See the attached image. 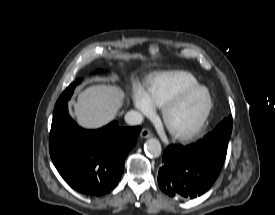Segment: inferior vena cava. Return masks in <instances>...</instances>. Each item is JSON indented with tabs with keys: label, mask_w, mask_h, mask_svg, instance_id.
I'll return each mask as SVG.
<instances>
[{
	"label": "inferior vena cava",
	"mask_w": 275,
	"mask_h": 215,
	"mask_svg": "<svg viewBox=\"0 0 275 215\" xmlns=\"http://www.w3.org/2000/svg\"><path fill=\"white\" fill-rule=\"evenodd\" d=\"M125 121L129 124V125H138L141 124L143 121V116L141 113L134 111V110H130L129 112H127L125 114Z\"/></svg>",
	"instance_id": "obj_1"
}]
</instances>
